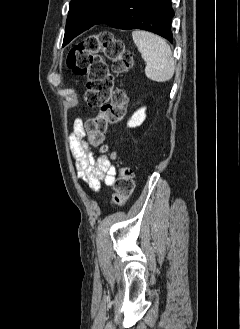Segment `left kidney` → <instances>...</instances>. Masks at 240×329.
Here are the masks:
<instances>
[{"label": "left kidney", "instance_id": "obj_1", "mask_svg": "<svg viewBox=\"0 0 240 329\" xmlns=\"http://www.w3.org/2000/svg\"><path fill=\"white\" fill-rule=\"evenodd\" d=\"M145 110L146 108L143 107L136 111L128 121L127 126L131 128L140 126L146 118Z\"/></svg>", "mask_w": 240, "mask_h": 329}]
</instances>
